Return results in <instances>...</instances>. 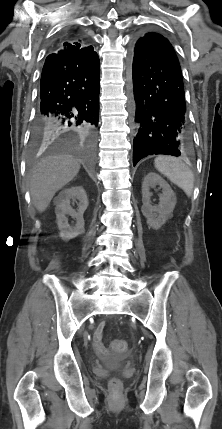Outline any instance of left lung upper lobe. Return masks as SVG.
<instances>
[{"label":"left lung upper lobe","instance_id":"5c2ea615","mask_svg":"<svg viewBox=\"0 0 222 429\" xmlns=\"http://www.w3.org/2000/svg\"><path fill=\"white\" fill-rule=\"evenodd\" d=\"M160 35L161 34L155 33V32H147L145 34H141L140 37L137 40L141 41V40L146 39L147 37H150V36H160Z\"/></svg>","mask_w":222,"mask_h":429}]
</instances>
